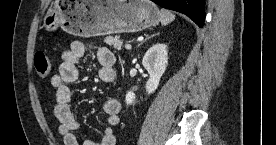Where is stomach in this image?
Returning a JSON list of instances; mask_svg holds the SVG:
<instances>
[{
	"mask_svg": "<svg viewBox=\"0 0 276 145\" xmlns=\"http://www.w3.org/2000/svg\"><path fill=\"white\" fill-rule=\"evenodd\" d=\"M160 21V11L150 0H58L51 6L43 26L59 27L79 37L138 32Z\"/></svg>",
	"mask_w": 276,
	"mask_h": 145,
	"instance_id": "obj_1",
	"label": "stomach"
}]
</instances>
